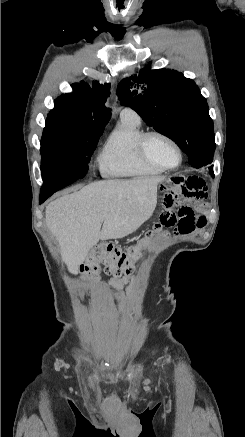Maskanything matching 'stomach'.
Listing matches in <instances>:
<instances>
[{
  "label": "stomach",
  "instance_id": "1",
  "mask_svg": "<svg viewBox=\"0 0 245 437\" xmlns=\"http://www.w3.org/2000/svg\"><path fill=\"white\" fill-rule=\"evenodd\" d=\"M180 175H172L169 177H164V179L159 183L158 192L160 195H164L177 187L178 183H181Z\"/></svg>",
  "mask_w": 245,
  "mask_h": 437
}]
</instances>
